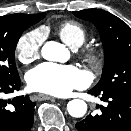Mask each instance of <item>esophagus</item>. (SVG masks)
<instances>
[{
  "mask_svg": "<svg viewBox=\"0 0 131 131\" xmlns=\"http://www.w3.org/2000/svg\"><path fill=\"white\" fill-rule=\"evenodd\" d=\"M36 98L38 100H49V99H54V97L50 96V95H46V94H38L36 96Z\"/></svg>",
  "mask_w": 131,
  "mask_h": 131,
  "instance_id": "1",
  "label": "esophagus"
}]
</instances>
